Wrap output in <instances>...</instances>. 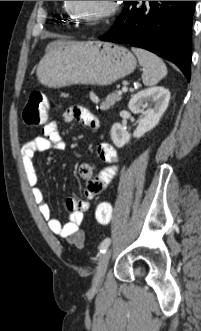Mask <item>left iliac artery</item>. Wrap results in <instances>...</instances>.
Here are the masks:
<instances>
[{
  "label": "left iliac artery",
  "mask_w": 201,
  "mask_h": 331,
  "mask_svg": "<svg viewBox=\"0 0 201 331\" xmlns=\"http://www.w3.org/2000/svg\"><path fill=\"white\" fill-rule=\"evenodd\" d=\"M110 243H111L110 238L104 239L99 246L100 253L102 254L105 253Z\"/></svg>",
  "instance_id": "44dca946"
}]
</instances>
